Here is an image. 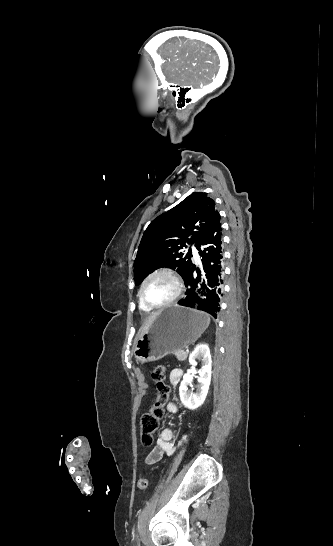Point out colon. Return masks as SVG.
<instances>
[{"mask_svg": "<svg viewBox=\"0 0 333 546\" xmlns=\"http://www.w3.org/2000/svg\"><path fill=\"white\" fill-rule=\"evenodd\" d=\"M152 379L157 385L158 395L156 403L151 409L142 415L140 420V438L143 446H150L153 443L154 435L160 428V421L163 417V406L168 400L170 389L165 383V367L157 366L152 371ZM149 481L145 478L138 481V488L146 490Z\"/></svg>", "mask_w": 333, "mask_h": 546, "instance_id": "1", "label": "colon"}]
</instances>
